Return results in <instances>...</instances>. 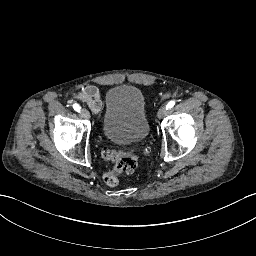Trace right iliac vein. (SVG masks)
Listing matches in <instances>:
<instances>
[{"label": "right iliac vein", "instance_id": "right-iliac-vein-1", "mask_svg": "<svg viewBox=\"0 0 256 256\" xmlns=\"http://www.w3.org/2000/svg\"><path fill=\"white\" fill-rule=\"evenodd\" d=\"M80 114H81L82 117L85 118V119H89V118H90V113H89V111L86 110V109H82L81 112H80Z\"/></svg>", "mask_w": 256, "mask_h": 256}]
</instances>
